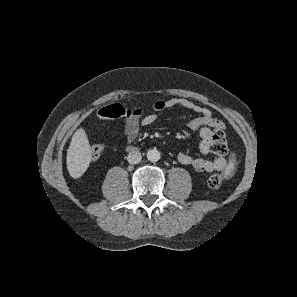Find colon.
<instances>
[{"instance_id": "obj_1", "label": "colon", "mask_w": 297, "mask_h": 297, "mask_svg": "<svg viewBox=\"0 0 297 297\" xmlns=\"http://www.w3.org/2000/svg\"><path fill=\"white\" fill-rule=\"evenodd\" d=\"M142 108L137 107L131 109L122 103H115L103 107L99 111V115L105 119H116L119 117H128L134 113H137ZM211 150L218 156H224L228 152L227 140L222 129L219 127L214 129ZM103 152V146L95 144L91 147L90 154L93 160L100 157ZM208 186L211 189H218L222 185V177L219 174H213L208 178Z\"/></svg>"}]
</instances>
